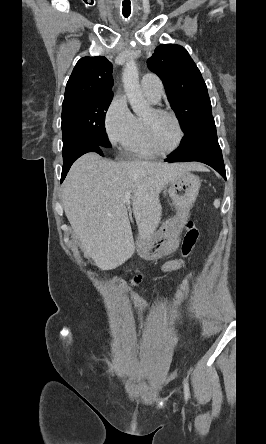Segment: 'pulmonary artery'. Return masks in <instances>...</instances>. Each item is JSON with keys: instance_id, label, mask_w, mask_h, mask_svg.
<instances>
[{"instance_id": "1", "label": "pulmonary artery", "mask_w": 266, "mask_h": 444, "mask_svg": "<svg viewBox=\"0 0 266 444\" xmlns=\"http://www.w3.org/2000/svg\"><path fill=\"white\" fill-rule=\"evenodd\" d=\"M141 89L152 102H158L163 93V85L158 76L147 73L142 77Z\"/></svg>"}]
</instances>
